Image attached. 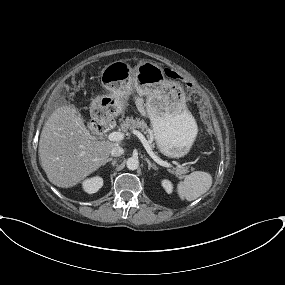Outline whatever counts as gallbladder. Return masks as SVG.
<instances>
[{"label":"gallbladder","mask_w":285,"mask_h":285,"mask_svg":"<svg viewBox=\"0 0 285 285\" xmlns=\"http://www.w3.org/2000/svg\"><path fill=\"white\" fill-rule=\"evenodd\" d=\"M76 117H77V120H78L80 126L84 129H86L85 124H84V119H83V117L79 111L76 112ZM88 132H89L90 136H92V133L90 131H88Z\"/></svg>","instance_id":"bac80fb5"}]
</instances>
